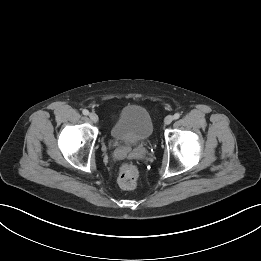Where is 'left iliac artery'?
I'll return each instance as SVG.
<instances>
[{
  "instance_id": "44dca946",
  "label": "left iliac artery",
  "mask_w": 261,
  "mask_h": 261,
  "mask_svg": "<svg viewBox=\"0 0 261 261\" xmlns=\"http://www.w3.org/2000/svg\"><path fill=\"white\" fill-rule=\"evenodd\" d=\"M174 119H178L180 118V114L179 113H175L174 116H173Z\"/></svg>"
}]
</instances>
